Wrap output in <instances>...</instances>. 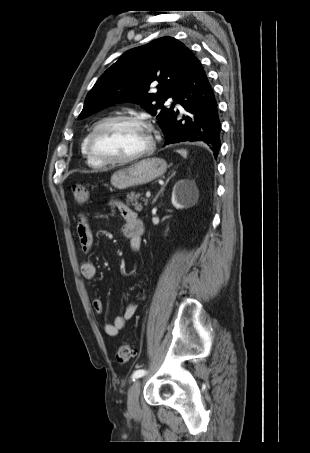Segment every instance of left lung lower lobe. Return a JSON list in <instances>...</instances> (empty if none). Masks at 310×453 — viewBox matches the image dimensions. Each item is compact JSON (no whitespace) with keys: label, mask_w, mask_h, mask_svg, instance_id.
Wrapping results in <instances>:
<instances>
[{"label":"left lung lower lobe","mask_w":310,"mask_h":453,"mask_svg":"<svg viewBox=\"0 0 310 453\" xmlns=\"http://www.w3.org/2000/svg\"><path fill=\"white\" fill-rule=\"evenodd\" d=\"M174 101L187 112L177 120L178 111L172 112L162 127L165 145L182 141L206 143L215 158L220 149L221 123L217 101L200 61L192 54L188 72L177 90ZM175 103H173V108Z\"/></svg>","instance_id":"left-lung-lower-lobe-1"}]
</instances>
